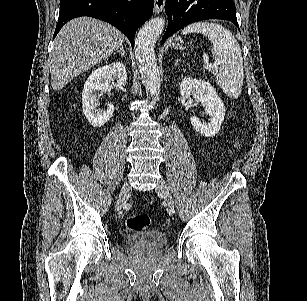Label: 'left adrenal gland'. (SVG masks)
<instances>
[{"label": "left adrenal gland", "instance_id": "1", "mask_svg": "<svg viewBox=\"0 0 307 301\" xmlns=\"http://www.w3.org/2000/svg\"><path fill=\"white\" fill-rule=\"evenodd\" d=\"M178 62H180V60H175V66H178Z\"/></svg>", "mask_w": 307, "mask_h": 301}]
</instances>
